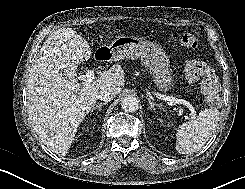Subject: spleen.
Listing matches in <instances>:
<instances>
[{
	"label": "spleen",
	"instance_id": "obj_1",
	"mask_svg": "<svg viewBox=\"0 0 245 189\" xmlns=\"http://www.w3.org/2000/svg\"><path fill=\"white\" fill-rule=\"evenodd\" d=\"M216 107L201 111L195 120L181 124L176 133V149L181 154H191L202 148L210 139L219 122Z\"/></svg>",
	"mask_w": 245,
	"mask_h": 189
}]
</instances>
